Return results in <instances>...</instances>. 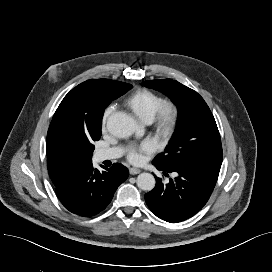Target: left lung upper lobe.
<instances>
[{"label": "left lung upper lobe", "instance_id": "left-lung-upper-lobe-1", "mask_svg": "<svg viewBox=\"0 0 272 272\" xmlns=\"http://www.w3.org/2000/svg\"><path fill=\"white\" fill-rule=\"evenodd\" d=\"M143 85L164 93L178 108L174 136L165 152L153 162L165 168L197 163L221 166L223 153L220 134L203 98L172 79L149 80Z\"/></svg>", "mask_w": 272, "mask_h": 272}]
</instances>
